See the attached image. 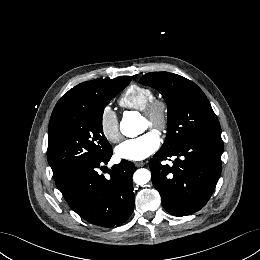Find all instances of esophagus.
Returning a JSON list of instances; mask_svg holds the SVG:
<instances>
[{
  "mask_svg": "<svg viewBox=\"0 0 260 260\" xmlns=\"http://www.w3.org/2000/svg\"><path fill=\"white\" fill-rule=\"evenodd\" d=\"M136 167H142L145 165V162H142V161H138V162H135L134 163Z\"/></svg>",
  "mask_w": 260,
  "mask_h": 260,
  "instance_id": "esophagus-1",
  "label": "esophagus"
}]
</instances>
